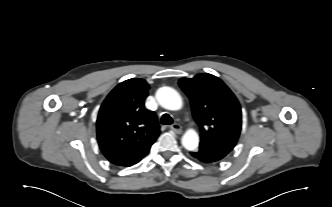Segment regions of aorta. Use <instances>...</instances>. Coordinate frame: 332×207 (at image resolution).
Listing matches in <instances>:
<instances>
[{
	"instance_id": "762f6f07",
	"label": "aorta",
	"mask_w": 332,
	"mask_h": 207,
	"mask_svg": "<svg viewBox=\"0 0 332 207\" xmlns=\"http://www.w3.org/2000/svg\"><path fill=\"white\" fill-rule=\"evenodd\" d=\"M156 99L160 106L168 110H179L182 107V99L179 93L171 87H161L156 92ZM183 147L194 151L199 145V136L193 129H189L182 137Z\"/></svg>"
}]
</instances>
